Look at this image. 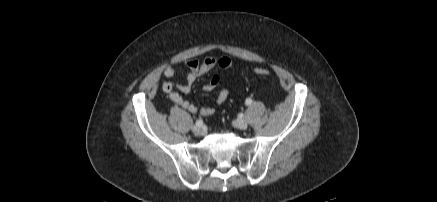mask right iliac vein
<instances>
[{
    "label": "right iliac vein",
    "instance_id": "1",
    "mask_svg": "<svg viewBox=\"0 0 437 202\" xmlns=\"http://www.w3.org/2000/svg\"><path fill=\"white\" fill-rule=\"evenodd\" d=\"M192 131H193V133L196 134V135H203V134L205 133L204 128H202V127H198V126H194V127L192 128Z\"/></svg>",
    "mask_w": 437,
    "mask_h": 202
}]
</instances>
